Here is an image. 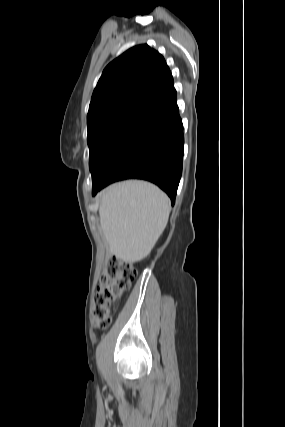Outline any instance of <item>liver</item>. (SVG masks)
I'll return each mask as SVG.
<instances>
[{
	"label": "liver",
	"mask_w": 285,
	"mask_h": 427,
	"mask_svg": "<svg viewBox=\"0 0 285 427\" xmlns=\"http://www.w3.org/2000/svg\"><path fill=\"white\" fill-rule=\"evenodd\" d=\"M100 199V224L111 254L129 263L147 257L168 223V196L151 183L129 180L107 187Z\"/></svg>",
	"instance_id": "6515ba94"
}]
</instances>
